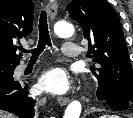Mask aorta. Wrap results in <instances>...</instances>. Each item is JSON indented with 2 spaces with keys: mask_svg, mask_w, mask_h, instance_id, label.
<instances>
[{
  "mask_svg": "<svg viewBox=\"0 0 133 118\" xmlns=\"http://www.w3.org/2000/svg\"><path fill=\"white\" fill-rule=\"evenodd\" d=\"M54 32L62 38L71 37L74 34V27L68 22H58L54 26ZM81 103L72 101L66 108L63 118H80Z\"/></svg>",
  "mask_w": 133,
  "mask_h": 118,
  "instance_id": "obj_1",
  "label": "aorta"
}]
</instances>
